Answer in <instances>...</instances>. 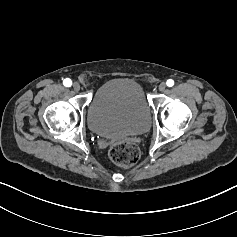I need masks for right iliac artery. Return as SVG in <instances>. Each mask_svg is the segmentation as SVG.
<instances>
[{"label": "right iliac artery", "instance_id": "82829eb1", "mask_svg": "<svg viewBox=\"0 0 237 237\" xmlns=\"http://www.w3.org/2000/svg\"><path fill=\"white\" fill-rule=\"evenodd\" d=\"M64 86L70 87L72 85V81L69 78L64 79L63 81Z\"/></svg>", "mask_w": 237, "mask_h": 237}]
</instances>
